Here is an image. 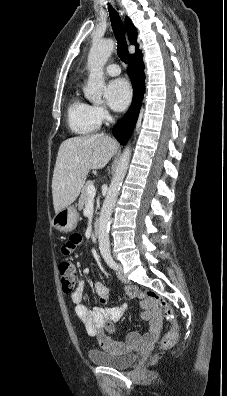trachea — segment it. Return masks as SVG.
Segmentation results:
<instances>
[{
  "instance_id": "3493384b",
  "label": "trachea",
  "mask_w": 227,
  "mask_h": 396,
  "mask_svg": "<svg viewBox=\"0 0 227 396\" xmlns=\"http://www.w3.org/2000/svg\"><path fill=\"white\" fill-rule=\"evenodd\" d=\"M108 8H109L112 29L118 44L117 54L124 63L128 64L130 57L127 48V43L125 40V33H124L122 20L119 14L117 13V11L114 8H112L111 5H108Z\"/></svg>"
}]
</instances>
